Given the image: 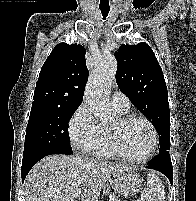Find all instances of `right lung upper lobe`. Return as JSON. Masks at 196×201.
I'll return each mask as SVG.
<instances>
[{
  "instance_id": "cb5924a9",
  "label": "right lung upper lobe",
  "mask_w": 196,
  "mask_h": 201,
  "mask_svg": "<svg viewBox=\"0 0 196 201\" xmlns=\"http://www.w3.org/2000/svg\"><path fill=\"white\" fill-rule=\"evenodd\" d=\"M88 74L81 45L57 44L41 68L33 104L79 106Z\"/></svg>"
}]
</instances>
